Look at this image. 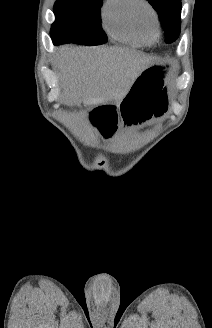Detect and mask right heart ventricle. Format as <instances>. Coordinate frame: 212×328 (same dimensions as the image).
<instances>
[{"label":"right heart ventricle","mask_w":212,"mask_h":328,"mask_svg":"<svg viewBox=\"0 0 212 328\" xmlns=\"http://www.w3.org/2000/svg\"><path fill=\"white\" fill-rule=\"evenodd\" d=\"M136 0H106L102 8V23L106 32L124 43L142 45L152 44L158 32H143L138 27L133 9Z\"/></svg>","instance_id":"obj_1"}]
</instances>
